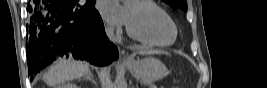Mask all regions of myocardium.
<instances>
[{"instance_id":"1","label":"myocardium","mask_w":267,"mask_h":88,"mask_svg":"<svg viewBox=\"0 0 267 88\" xmlns=\"http://www.w3.org/2000/svg\"><path fill=\"white\" fill-rule=\"evenodd\" d=\"M131 3H136V4H139V5L147 6L149 9H152V10L158 12L159 14L167 17L170 20V22L172 23L173 27H174L175 35H174V38H173V40L171 42H159V41H154V40L148 39L146 37H143L142 35L134 32L131 28H129V26H127V28H126L127 29V33H128V35L130 37H132V38H134V39H136V40H138L140 42H143L145 44H149V45H153V46H160V47L170 46L176 41L177 36H178L177 25L175 24V22L172 20V18L165 11H163L162 9L150 6L144 0H135V1H132Z\"/></svg>"}]
</instances>
